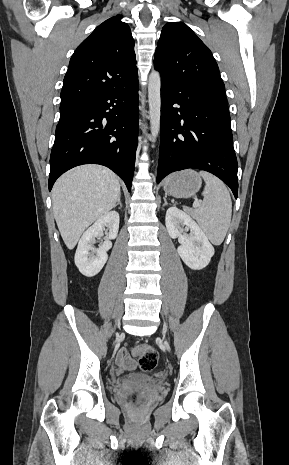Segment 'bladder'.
<instances>
[{
	"label": "bladder",
	"instance_id": "bladder-1",
	"mask_svg": "<svg viewBox=\"0 0 289 465\" xmlns=\"http://www.w3.org/2000/svg\"><path fill=\"white\" fill-rule=\"evenodd\" d=\"M129 379L135 383L149 386V387H160L161 385V383L158 380H156L154 377L147 376V375L136 374V375L130 376Z\"/></svg>",
	"mask_w": 289,
	"mask_h": 465
}]
</instances>
